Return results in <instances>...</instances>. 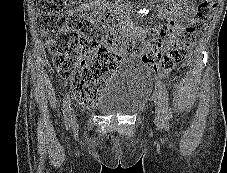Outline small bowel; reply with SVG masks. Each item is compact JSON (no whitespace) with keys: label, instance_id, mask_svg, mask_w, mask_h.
<instances>
[{"label":"small bowel","instance_id":"1","mask_svg":"<svg viewBox=\"0 0 227 173\" xmlns=\"http://www.w3.org/2000/svg\"><path fill=\"white\" fill-rule=\"evenodd\" d=\"M168 6L161 7L157 16L165 23L150 31L133 24L130 19L122 15L119 17V36L114 47L116 56L132 55L128 44L133 39L142 40L147 32L158 34L166 38V45H172L182 33V21L192 20L197 0H163Z\"/></svg>","mask_w":227,"mask_h":173}]
</instances>
